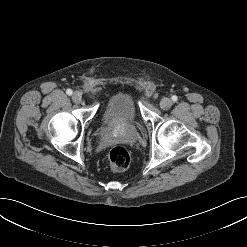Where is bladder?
Instances as JSON below:
<instances>
[{
	"instance_id": "bladder-1",
	"label": "bladder",
	"mask_w": 247,
	"mask_h": 247,
	"mask_svg": "<svg viewBox=\"0 0 247 247\" xmlns=\"http://www.w3.org/2000/svg\"><path fill=\"white\" fill-rule=\"evenodd\" d=\"M137 118L136 106L129 93L114 94L107 102L101 122L105 128H126L135 124Z\"/></svg>"
}]
</instances>
